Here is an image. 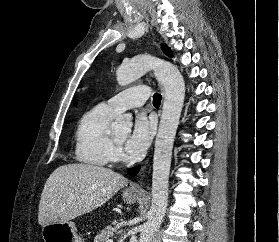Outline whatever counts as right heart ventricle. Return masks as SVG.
Returning <instances> with one entry per match:
<instances>
[{
    "instance_id": "obj_1",
    "label": "right heart ventricle",
    "mask_w": 279,
    "mask_h": 242,
    "mask_svg": "<svg viewBox=\"0 0 279 242\" xmlns=\"http://www.w3.org/2000/svg\"><path fill=\"white\" fill-rule=\"evenodd\" d=\"M116 116L105 104H98L83 114L75 132V154L78 161L106 166L116 159L117 148L109 127Z\"/></svg>"
}]
</instances>
